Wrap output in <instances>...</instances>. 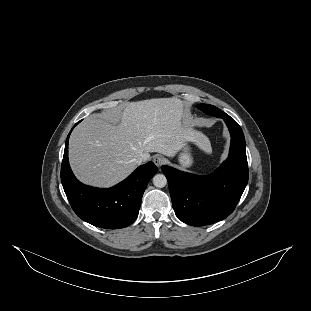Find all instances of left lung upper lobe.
Instances as JSON below:
<instances>
[{
	"label": "left lung upper lobe",
	"instance_id": "obj_1",
	"mask_svg": "<svg viewBox=\"0 0 311 311\" xmlns=\"http://www.w3.org/2000/svg\"><path fill=\"white\" fill-rule=\"evenodd\" d=\"M197 108L202 110L203 112H205L209 115L215 116V117H221V115L224 113L223 111H221L217 107H215L213 105H208V104H199V105H197Z\"/></svg>",
	"mask_w": 311,
	"mask_h": 311
}]
</instances>
